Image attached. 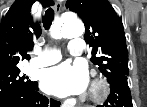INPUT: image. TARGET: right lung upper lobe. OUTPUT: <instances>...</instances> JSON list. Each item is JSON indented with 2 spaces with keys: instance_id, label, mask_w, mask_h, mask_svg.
I'll return each mask as SVG.
<instances>
[{
  "instance_id": "obj_1",
  "label": "right lung upper lobe",
  "mask_w": 147,
  "mask_h": 107,
  "mask_svg": "<svg viewBox=\"0 0 147 107\" xmlns=\"http://www.w3.org/2000/svg\"><path fill=\"white\" fill-rule=\"evenodd\" d=\"M35 0H16L0 24V71L29 60L28 51L41 35V27L30 12ZM44 8L54 5L53 0H39Z\"/></svg>"
}]
</instances>
